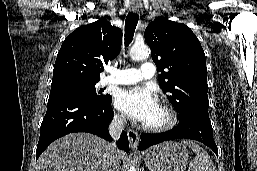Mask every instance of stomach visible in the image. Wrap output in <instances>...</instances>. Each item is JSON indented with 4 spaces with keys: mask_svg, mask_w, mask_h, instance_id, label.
<instances>
[{
    "mask_svg": "<svg viewBox=\"0 0 257 171\" xmlns=\"http://www.w3.org/2000/svg\"><path fill=\"white\" fill-rule=\"evenodd\" d=\"M188 158L185 146L165 142L149 149L144 160L150 171H185Z\"/></svg>",
    "mask_w": 257,
    "mask_h": 171,
    "instance_id": "0dacf381",
    "label": "stomach"
}]
</instances>
